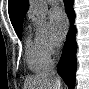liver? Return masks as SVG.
<instances>
[{
  "label": "liver",
  "mask_w": 89,
  "mask_h": 89,
  "mask_svg": "<svg viewBox=\"0 0 89 89\" xmlns=\"http://www.w3.org/2000/svg\"><path fill=\"white\" fill-rule=\"evenodd\" d=\"M60 87V80L49 74H37L28 77L24 89H56Z\"/></svg>",
  "instance_id": "1"
}]
</instances>
